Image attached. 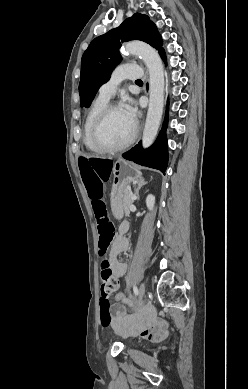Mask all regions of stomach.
Instances as JSON below:
<instances>
[{
    "label": "stomach",
    "mask_w": 248,
    "mask_h": 389,
    "mask_svg": "<svg viewBox=\"0 0 248 389\" xmlns=\"http://www.w3.org/2000/svg\"><path fill=\"white\" fill-rule=\"evenodd\" d=\"M114 175L113 188L111 192V207L114 218L121 220L123 218V191L130 183L135 182L142 177L139 168L124 159H118L112 164Z\"/></svg>",
    "instance_id": "1"
}]
</instances>
